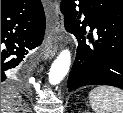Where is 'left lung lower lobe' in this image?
<instances>
[{
	"instance_id": "left-lung-lower-lobe-1",
	"label": "left lung lower lobe",
	"mask_w": 123,
	"mask_h": 113,
	"mask_svg": "<svg viewBox=\"0 0 123 113\" xmlns=\"http://www.w3.org/2000/svg\"><path fill=\"white\" fill-rule=\"evenodd\" d=\"M60 8L66 30L78 39L69 91L85 85L123 89V5L115 0H63ZM86 26L97 31L96 41L89 34L91 44L85 41Z\"/></svg>"
}]
</instances>
